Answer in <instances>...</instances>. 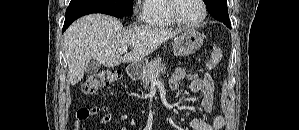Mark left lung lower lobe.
I'll list each match as a JSON object with an SVG mask.
<instances>
[{
  "instance_id": "left-lung-lower-lobe-1",
  "label": "left lung lower lobe",
  "mask_w": 299,
  "mask_h": 130,
  "mask_svg": "<svg viewBox=\"0 0 299 130\" xmlns=\"http://www.w3.org/2000/svg\"><path fill=\"white\" fill-rule=\"evenodd\" d=\"M219 21V20H218ZM221 22H223L228 28L231 29V24L229 20H222Z\"/></svg>"
}]
</instances>
